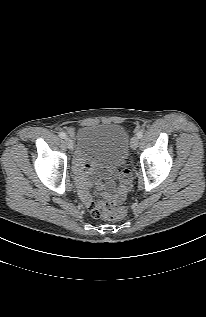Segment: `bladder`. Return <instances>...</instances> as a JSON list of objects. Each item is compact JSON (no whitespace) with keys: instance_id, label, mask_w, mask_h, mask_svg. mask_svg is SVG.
Masks as SVG:
<instances>
[{"instance_id":"obj_1","label":"bladder","mask_w":206,"mask_h":317,"mask_svg":"<svg viewBox=\"0 0 206 317\" xmlns=\"http://www.w3.org/2000/svg\"><path fill=\"white\" fill-rule=\"evenodd\" d=\"M130 137L119 124H86L76 135L78 150L98 166L100 172L119 167L128 156Z\"/></svg>"}]
</instances>
